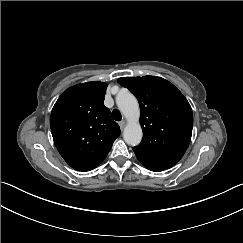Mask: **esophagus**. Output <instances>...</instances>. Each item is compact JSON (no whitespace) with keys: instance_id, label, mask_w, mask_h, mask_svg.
I'll return each mask as SVG.
<instances>
[{"instance_id":"1","label":"esophagus","mask_w":243,"mask_h":243,"mask_svg":"<svg viewBox=\"0 0 243 243\" xmlns=\"http://www.w3.org/2000/svg\"><path fill=\"white\" fill-rule=\"evenodd\" d=\"M119 126H120L121 130H123V128L125 126V122L124 121H120L119 122Z\"/></svg>"}]
</instances>
